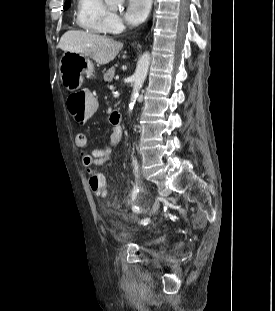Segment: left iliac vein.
Returning a JSON list of instances; mask_svg holds the SVG:
<instances>
[{
    "instance_id": "1",
    "label": "left iliac vein",
    "mask_w": 275,
    "mask_h": 311,
    "mask_svg": "<svg viewBox=\"0 0 275 311\" xmlns=\"http://www.w3.org/2000/svg\"><path fill=\"white\" fill-rule=\"evenodd\" d=\"M157 210H158V207H157V206H154V207L152 208L151 212H152L153 214H155V213L157 212Z\"/></svg>"
}]
</instances>
